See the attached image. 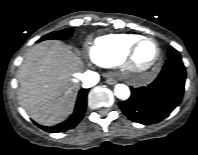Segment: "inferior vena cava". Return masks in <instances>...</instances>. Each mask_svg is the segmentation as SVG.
I'll list each match as a JSON object with an SVG mask.
<instances>
[{"mask_svg":"<svg viewBox=\"0 0 198 155\" xmlns=\"http://www.w3.org/2000/svg\"><path fill=\"white\" fill-rule=\"evenodd\" d=\"M81 81L85 86L92 87L99 81V74L93 71H86L81 75Z\"/></svg>","mask_w":198,"mask_h":155,"instance_id":"obj_1","label":"inferior vena cava"}]
</instances>
